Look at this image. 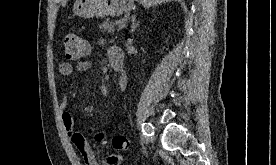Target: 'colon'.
<instances>
[{
	"label": "colon",
	"mask_w": 276,
	"mask_h": 165,
	"mask_svg": "<svg viewBox=\"0 0 276 165\" xmlns=\"http://www.w3.org/2000/svg\"><path fill=\"white\" fill-rule=\"evenodd\" d=\"M65 62L72 63L81 60L87 53L86 41L76 32H68L64 37ZM98 141L103 140L102 135L97 136ZM112 147L117 151L126 150L129 140L123 135H115L111 139Z\"/></svg>",
	"instance_id": "colon-1"
}]
</instances>
